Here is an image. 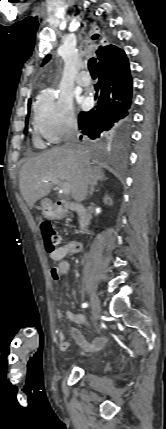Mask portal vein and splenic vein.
Listing matches in <instances>:
<instances>
[{
	"label": "portal vein and splenic vein",
	"instance_id": "portal-vein-and-splenic-vein-1",
	"mask_svg": "<svg viewBox=\"0 0 166 429\" xmlns=\"http://www.w3.org/2000/svg\"><path fill=\"white\" fill-rule=\"evenodd\" d=\"M48 180H52L53 183L58 184L60 186V189H61L60 192L66 194V195H68L70 193L71 186L69 183L65 182L63 184H60L58 180H54V179H48Z\"/></svg>",
	"mask_w": 166,
	"mask_h": 429
}]
</instances>
